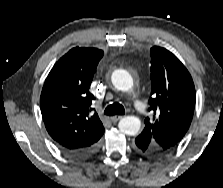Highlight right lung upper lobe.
I'll return each mask as SVG.
<instances>
[{"label":"right lung upper lobe","mask_w":223,"mask_h":188,"mask_svg":"<svg viewBox=\"0 0 223 188\" xmlns=\"http://www.w3.org/2000/svg\"><path fill=\"white\" fill-rule=\"evenodd\" d=\"M102 56L100 49L75 47L55 63L45 80L41 113L49 135L61 147L86 148L104 133L98 114L91 113L95 98L89 92Z\"/></svg>","instance_id":"right-lung-upper-lobe-1"}]
</instances>
